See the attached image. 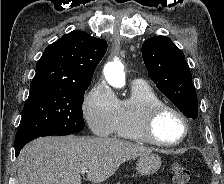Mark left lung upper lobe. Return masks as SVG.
I'll list each match as a JSON object with an SVG mask.
<instances>
[{
    "instance_id": "obj_1",
    "label": "left lung upper lobe",
    "mask_w": 224,
    "mask_h": 184,
    "mask_svg": "<svg viewBox=\"0 0 224 184\" xmlns=\"http://www.w3.org/2000/svg\"><path fill=\"white\" fill-rule=\"evenodd\" d=\"M142 56L158 89L188 118L198 116V101L183 52L166 36L147 39Z\"/></svg>"
}]
</instances>
